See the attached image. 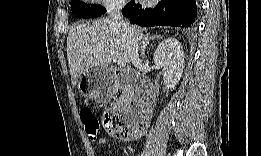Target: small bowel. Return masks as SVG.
Segmentation results:
<instances>
[{
	"label": "small bowel",
	"mask_w": 261,
	"mask_h": 156,
	"mask_svg": "<svg viewBox=\"0 0 261 156\" xmlns=\"http://www.w3.org/2000/svg\"><path fill=\"white\" fill-rule=\"evenodd\" d=\"M99 145H106L107 144V139L105 137H101L98 139Z\"/></svg>",
	"instance_id": "obj_1"
}]
</instances>
